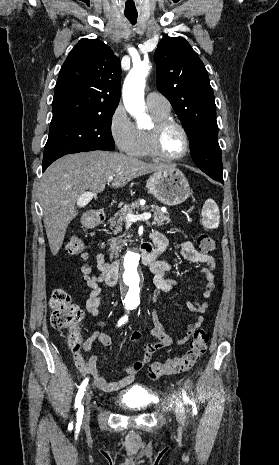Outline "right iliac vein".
Instances as JSON below:
<instances>
[{
	"label": "right iliac vein",
	"mask_w": 279,
	"mask_h": 465,
	"mask_svg": "<svg viewBox=\"0 0 279 465\" xmlns=\"http://www.w3.org/2000/svg\"><path fill=\"white\" fill-rule=\"evenodd\" d=\"M90 400H91V394L88 392V393H86L85 398H84V402H85V405H86V411L84 413V419H83L84 424H88L89 420H90V412H89V409H88V404H89Z\"/></svg>",
	"instance_id": "63e3f726"
}]
</instances>
